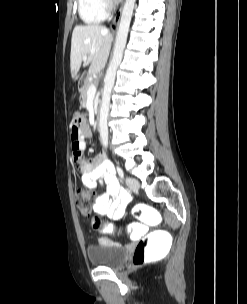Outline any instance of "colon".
I'll use <instances>...</instances> for the list:
<instances>
[{
	"instance_id": "5ec220e1",
	"label": "colon",
	"mask_w": 247,
	"mask_h": 304,
	"mask_svg": "<svg viewBox=\"0 0 247 304\" xmlns=\"http://www.w3.org/2000/svg\"><path fill=\"white\" fill-rule=\"evenodd\" d=\"M92 201V192L82 188L76 190L75 203L82 214L88 215L90 213ZM134 206L133 215L139 218V221H142V224H136L134 227L128 226L126 228L127 231L131 232L130 238H141L134 250V264L141 265L148 259H166L168 248H172L174 244V237H170V229L162 227V229H151L150 233H147V227H145V225L162 224L160 210H156V208H153L152 210L150 202H135ZM91 226L94 231L103 232L102 236L104 238L109 236L107 227H105L99 220H94ZM111 236L116 238L118 233L113 231Z\"/></svg>"
}]
</instances>
